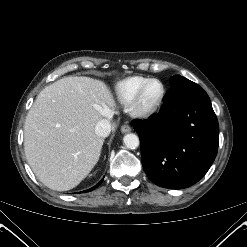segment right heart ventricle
I'll return each mask as SVG.
<instances>
[{"instance_id":"obj_1","label":"right heart ventricle","mask_w":247,"mask_h":247,"mask_svg":"<svg viewBox=\"0 0 247 247\" xmlns=\"http://www.w3.org/2000/svg\"><path fill=\"white\" fill-rule=\"evenodd\" d=\"M151 78L144 76H130L119 81L115 86V94L119 102L124 105L131 103L138 89Z\"/></svg>"}]
</instances>
